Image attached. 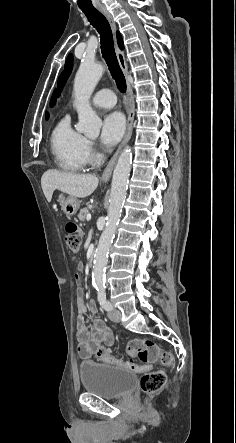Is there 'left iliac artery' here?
<instances>
[{"instance_id":"1","label":"left iliac artery","mask_w":236,"mask_h":443,"mask_svg":"<svg viewBox=\"0 0 236 443\" xmlns=\"http://www.w3.org/2000/svg\"><path fill=\"white\" fill-rule=\"evenodd\" d=\"M96 290L98 291V301L103 309L106 311H110L113 309L111 303L106 298V291L105 286H98L96 287Z\"/></svg>"}]
</instances>
